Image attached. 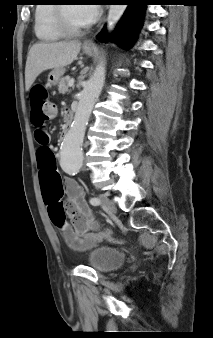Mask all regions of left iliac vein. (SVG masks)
<instances>
[{"mask_svg":"<svg viewBox=\"0 0 213 338\" xmlns=\"http://www.w3.org/2000/svg\"><path fill=\"white\" fill-rule=\"evenodd\" d=\"M101 202V207L109 212L115 213L116 212V206L114 203L104 194L99 195L98 197Z\"/></svg>","mask_w":213,"mask_h":338,"instance_id":"left-iliac-vein-1","label":"left iliac vein"}]
</instances>
